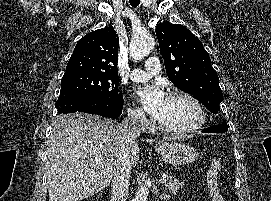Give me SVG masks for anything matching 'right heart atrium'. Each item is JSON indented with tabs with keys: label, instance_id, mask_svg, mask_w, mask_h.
<instances>
[{
	"label": "right heart atrium",
	"instance_id": "1",
	"mask_svg": "<svg viewBox=\"0 0 271 201\" xmlns=\"http://www.w3.org/2000/svg\"><path fill=\"white\" fill-rule=\"evenodd\" d=\"M128 118L132 123L140 127H145L148 123L144 112L139 108H130L128 110Z\"/></svg>",
	"mask_w": 271,
	"mask_h": 201
}]
</instances>
